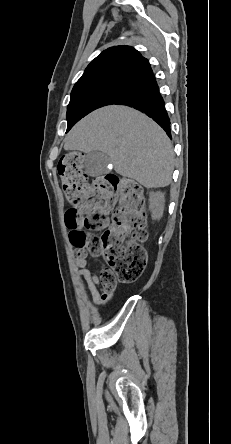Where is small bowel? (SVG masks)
<instances>
[{"label": "small bowel", "mask_w": 231, "mask_h": 444, "mask_svg": "<svg viewBox=\"0 0 231 444\" xmlns=\"http://www.w3.org/2000/svg\"><path fill=\"white\" fill-rule=\"evenodd\" d=\"M82 234L76 231H70V240L73 246L78 250L76 252V264L79 270V277L82 283L83 290L86 295H90L93 303L99 307H105L112 300L111 293L105 292L103 289L98 290L99 278L86 268L87 256L81 244Z\"/></svg>", "instance_id": "small-bowel-1"}]
</instances>
